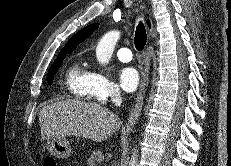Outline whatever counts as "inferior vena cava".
<instances>
[{"label":"inferior vena cava","mask_w":231,"mask_h":166,"mask_svg":"<svg viewBox=\"0 0 231 166\" xmlns=\"http://www.w3.org/2000/svg\"><path fill=\"white\" fill-rule=\"evenodd\" d=\"M111 98H112V102L116 105V106H120L122 103V98L120 96L119 93L115 92L111 94Z\"/></svg>","instance_id":"inferior-vena-cava-1"}]
</instances>
